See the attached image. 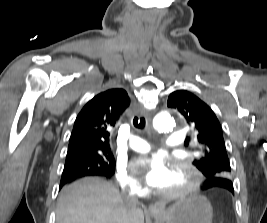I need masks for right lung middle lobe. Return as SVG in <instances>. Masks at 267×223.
<instances>
[{
	"mask_svg": "<svg viewBox=\"0 0 267 223\" xmlns=\"http://www.w3.org/2000/svg\"><path fill=\"white\" fill-rule=\"evenodd\" d=\"M115 170L112 153H86L79 157H67L64 172L80 171L87 174L111 176Z\"/></svg>",
	"mask_w": 267,
	"mask_h": 223,
	"instance_id": "right-lung-middle-lobe-1",
	"label": "right lung middle lobe"
}]
</instances>
